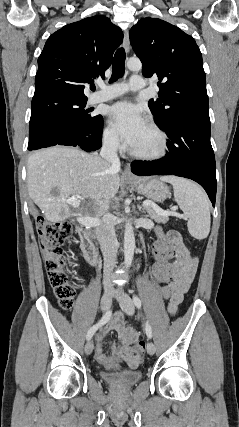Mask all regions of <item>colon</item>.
Masks as SVG:
<instances>
[{
	"label": "colon",
	"mask_w": 239,
	"mask_h": 427,
	"mask_svg": "<svg viewBox=\"0 0 239 427\" xmlns=\"http://www.w3.org/2000/svg\"><path fill=\"white\" fill-rule=\"evenodd\" d=\"M36 228L40 237V247L45 261L48 280L58 299L59 305L64 310L73 306L76 288L71 282V271L66 267V254L63 249L64 243L72 234V226L68 222H50L43 216L36 218ZM154 241L152 243V256L154 262L151 275L154 289L160 297H166L168 282L172 275L173 260L168 252L170 241L169 232L156 227ZM122 357L130 367L138 366L144 356L142 343L133 347H126L121 351Z\"/></svg>",
	"instance_id": "obj_1"
}]
</instances>
